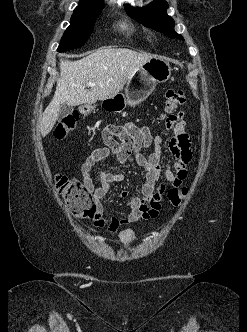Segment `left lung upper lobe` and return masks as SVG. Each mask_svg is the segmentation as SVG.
Here are the masks:
<instances>
[{"label": "left lung upper lobe", "mask_w": 247, "mask_h": 332, "mask_svg": "<svg viewBox=\"0 0 247 332\" xmlns=\"http://www.w3.org/2000/svg\"><path fill=\"white\" fill-rule=\"evenodd\" d=\"M168 4L164 0H155L150 5L142 8L126 6L127 13L144 26L163 32L170 38L184 40L182 35L174 31V20L167 15Z\"/></svg>", "instance_id": "left-lung-upper-lobe-1"}]
</instances>
